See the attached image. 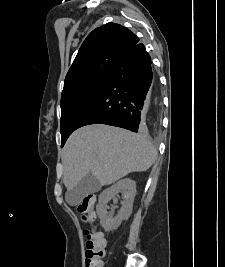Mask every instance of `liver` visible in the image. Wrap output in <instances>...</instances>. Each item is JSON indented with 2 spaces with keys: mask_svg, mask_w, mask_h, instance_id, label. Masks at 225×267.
Listing matches in <instances>:
<instances>
[{
  "mask_svg": "<svg viewBox=\"0 0 225 267\" xmlns=\"http://www.w3.org/2000/svg\"><path fill=\"white\" fill-rule=\"evenodd\" d=\"M157 151L144 134L91 124L74 131L62 150L64 184L74 188L87 174L109 185L131 172L148 170Z\"/></svg>",
  "mask_w": 225,
  "mask_h": 267,
  "instance_id": "1",
  "label": "liver"
}]
</instances>
